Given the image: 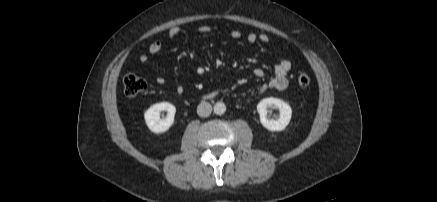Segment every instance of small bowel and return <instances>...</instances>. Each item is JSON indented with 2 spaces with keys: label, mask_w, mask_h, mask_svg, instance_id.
I'll return each instance as SVG.
<instances>
[{
  "label": "small bowel",
  "mask_w": 437,
  "mask_h": 202,
  "mask_svg": "<svg viewBox=\"0 0 437 202\" xmlns=\"http://www.w3.org/2000/svg\"><path fill=\"white\" fill-rule=\"evenodd\" d=\"M199 33H208L211 31V27L207 26V25H203L201 27H199L198 29ZM181 33V29L178 26H174L172 28L169 29L168 31V37L170 39H174L176 38L179 34ZM230 37L233 39H240L242 37V33L238 30H233L230 32ZM247 41L249 43H256V42H260V43H268L269 42V36L265 33H260V34H256V33H249L246 37ZM163 49V43L161 41H154L153 43L150 44L149 48H148V52L150 55H156L158 54L161 50ZM149 60V57L146 54H142L139 57V62L141 64H146ZM291 62L286 59V58H280L277 62V64L274 66V75L271 78V80L262 85L259 89L260 93L265 92L268 89H273V90H278V91H282L284 89L287 88L288 86V74L289 71L291 70ZM254 75L256 77H263L264 76V71L260 68H257L254 70ZM156 82L159 85H163L165 83V79L162 76H159L156 78ZM184 88L181 85H178L176 87V92L178 94H181L183 92Z\"/></svg>",
  "instance_id": "1"
}]
</instances>
